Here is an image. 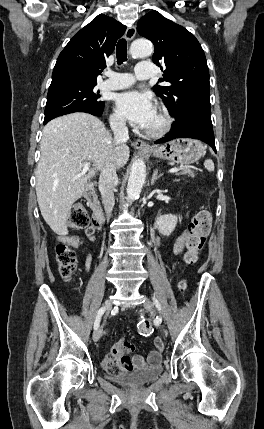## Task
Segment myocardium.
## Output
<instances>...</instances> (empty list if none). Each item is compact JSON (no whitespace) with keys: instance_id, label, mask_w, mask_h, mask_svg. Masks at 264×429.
<instances>
[{"instance_id":"1","label":"myocardium","mask_w":264,"mask_h":429,"mask_svg":"<svg viewBox=\"0 0 264 429\" xmlns=\"http://www.w3.org/2000/svg\"><path fill=\"white\" fill-rule=\"evenodd\" d=\"M157 114L161 120V123L157 128H154V129L145 128L143 132L147 137H150V138L162 137L170 130L172 126V121H173L172 117L166 109H163V108L158 109Z\"/></svg>"}]
</instances>
